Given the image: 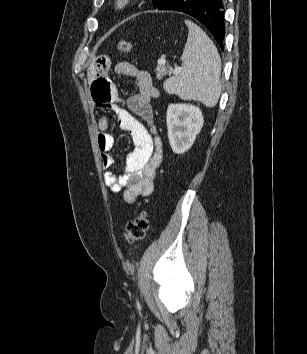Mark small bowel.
<instances>
[{"mask_svg":"<svg viewBox=\"0 0 307 354\" xmlns=\"http://www.w3.org/2000/svg\"><path fill=\"white\" fill-rule=\"evenodd\" d=\"M111 62L108 56L100 55L88 69V79L92 82L91 94L99 108L111 110L118 126L127 131L133 141L134 150L126 157L125 168L116 176L110 171L114 165L111 150L114 137L109 132V120L101 116L97 122L98 147L101 152L102 167L106 171L105 184L112 192H122L123 199L133 204L139 197H147L153 193L154 181L162 160L161 141L156 133L152 111V100L158 97L151 75L129 62H120L115 66L119 75L134 79L138 84V92L121 99L115 85L110 83L107 73ZM121 102L125 107H121Z\"/></svg>","mask_w":307,"mask_h":354,"instance_id":"obj_1","label":"small bowel"}]
</instances>
